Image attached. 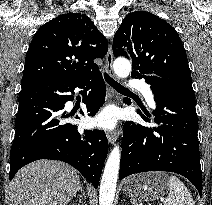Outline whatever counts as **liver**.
Segmentation results:
<instances>
[{
	"instance_id": "liver-1",
	"label": "liver",
	"mask_w": 212,
	"mask_h": 205,
	"mask_svg": "<svg viewBox=\"0 0 212 205\" xmlns=\"http://www.w3.org/2000/svg\"><path fill=\"white\" fill-rule=\"evenodd\" d=\"M78 180L77 171L65 163L33 162L20 169L11 182L14 205H66Z\"/></svg>"
}]
</instances>
